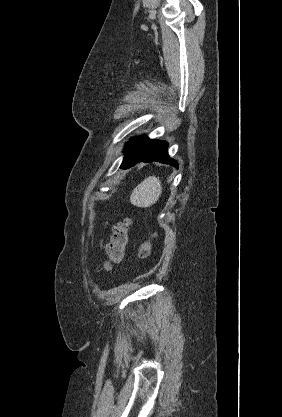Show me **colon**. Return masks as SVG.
<instances>
[{
  "instance_id": "1",
  "label": "colon",
  "mask_w": 282,
  "mask_h": 417,
  "mask_svg": "<svg viewBox=\"0 0 282 417\" xmlns=\"http://www.w3.org/2000/svg\"><path fill=\"white\" fill-rule=\"evenodd\" d=\"M152 238L145 239L138 246V256L146 258L152 248ZM128 243V220L114 222L111 226L110 240L107 244V258L102 262L105 269L120 263L124 256V250Z\"/></svg>"
}]
</instances>
